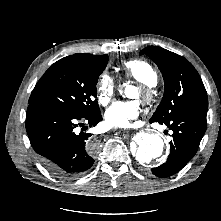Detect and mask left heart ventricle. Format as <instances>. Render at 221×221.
<instances>
[{"instance_id":"left-heart-ventricle-1","label":"left heart ventricle","mask_w":221,"mask_h":221,"mask_svg":"<svg viewBox=\"0 0 221 221\" xmlns=\"http://www.w3.org/2000/svg\"><path fill=\"white\" fill-rule=\"evenodd\" d=\"M132 95H138V91H136V90H132Z\"/></svg>"}]
</instances>
